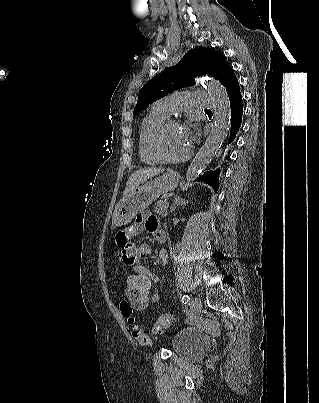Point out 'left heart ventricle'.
Masks as SVG:
<instances>
[{
  "instance_id": "1",
  "label": "left heart ventricle",
  "mask_w": 319,
  "mask_h": 403,
  "mask_svg": "<svg viewBox=\"0 0 319 403\" xmlns=\"http://www.w3.org/2000/svg\"><path fill=\"white\" fill-rule=\"evenodd\" d=\"M164 152L171 157H181L188 152L190 145L187 143L182 125L171 126L162 139Z\"/></svg>"
}]
</instances>
